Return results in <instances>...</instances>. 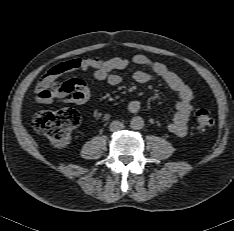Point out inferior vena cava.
Wrapping results in <instances>:
<instances>
[{"label": "inferior vena cava", "mask_w": 234, "mask_h": 231, "mask_svg": "<svg viewBox=\"0 0 234 231\" xmlns=\"http://www.w3.org/2000/svg\"><path fill=\"white\" fill-rule=\"evenodd\" d=\"M123 128H124V124L120 121H113L110 124V131L112 132L120 131Z\"/></svg>", "instance_id": "obj_1"}]
</instances>
